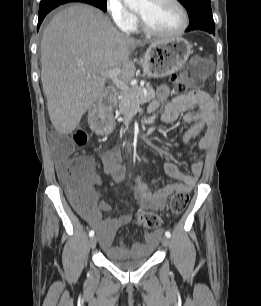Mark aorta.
Wrapping results in <instances>:
<instances>
[{
  "mask_svg": "<svg viewBox=\"0 0 261 306\" xmlns=\"http://www.w3.org/2000/svg\"><path fill=\"white\" fill-rule=\"evenodd\" d=\"M124 3L128 6L135 7L139 5L143 0H123Z\"/></svg>",
  "mask_w": 261,
  "mask_h": 306,
  "instance_id": "aorta-1",
  "label": "aorta"
}]
</instances>
